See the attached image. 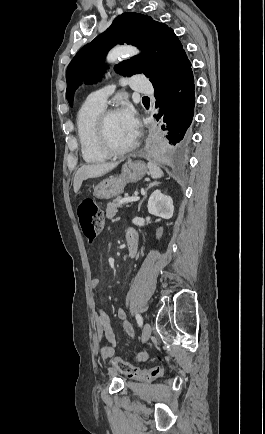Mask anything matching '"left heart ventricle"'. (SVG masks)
Wrapping results in <instances>:
<instances>
[{
	"mask_svg": "<svg viewBox=\"0 0 265 434\" xmlns=\"http://www.w3.org/2000/svg\"><path fill=\"white\" fill-rule=\"evenodd\" d=\"M108 128L110 142L115 148L125 149L135 142V139L132 138L123 126L118 113L109 119Z\"/></svg>",
	"mask_w": 265,
	"mask_h": 434,
	"instance_id": "left-heart-ventricle-1",
	"label": "left heart ventricle"
}]
</instances>
